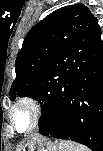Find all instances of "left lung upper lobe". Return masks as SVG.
Listing matches in <instances>:
<instances>
[{
	"instance_id": "5c2ea615",
	"label": "left lung upper lobe",
	"mask_w": 103,
	"mask_h": 151,
	"mask_svg": "<svg viewBox=\"0 0 103 151\" xmlns=\"http://www.w3.org/2000/svg\"><path fill=\"white\" fill-rule=\"evenodd\" d=\"M97 18L84 4L55 10L27 34L16 59V78L10 89L11 99L34 97L39 82L52 77L60 57Z\"/></svg>"
}]
</instances>
